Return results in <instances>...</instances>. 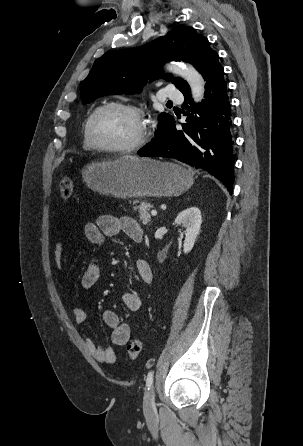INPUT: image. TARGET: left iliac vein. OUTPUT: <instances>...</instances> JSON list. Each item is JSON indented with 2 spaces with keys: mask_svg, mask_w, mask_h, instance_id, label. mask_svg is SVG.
Segmentation results:
<instances>
[{
  "mask_svg": "<svg viewBox=\"0 0 303 446\" xmlns=\"http://www.w3.org/2000/svg\"><path fill=\"white\" fill-rule=\"evenodd\" d=\"M155 409V392L154 387H150L144 395V411L151 413Z\"/></svg>",
  "mask_w": 303,
  "mask_h": 446,
  "instance_id": "obj_1",
  "label": "left iliac vein"
}]
</instances>
